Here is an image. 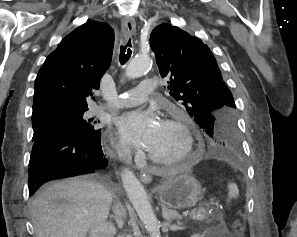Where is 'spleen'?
I'll use <instances>...</instances> for the list:
<instances>
[{
    "mask_svg": "<svg viewBox=\"0 0 297 237\" xmlns=\"http://www.w3.org/2000/svg\"><path fill=\"white\" fill-rule=\"evenodd\" d=\"M228 188H229V196L232 197V198H236L238 196V194H239L236 184L229 183Z\"/></svg>",
    "mask_w": 297,
    "mask_h": 237,
    "instance_id": "obj_1",
    "label": "spleen"
}]
</instances>
